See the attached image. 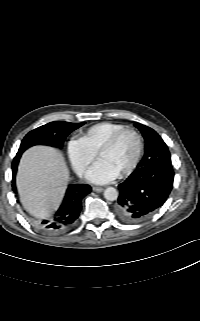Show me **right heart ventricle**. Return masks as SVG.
I'll return each instance as SVG.
<instances>
[{"instance_id": "right-heart-ventricle-1", "label": "right heart ventricle", "mask_w": 200, "mask_h": 321, "mask_svg": "<svg viewBox=\"0 0 200 321\" xmlns=\"http://www.w3.org/2000/svg\"><path fill=\"white\" fill-rule=\"evenodd\" d=\"M121 123L99 122L87 128L81 135L82 141L95 153L116 132L125 128Z\"/></svg>"}]
</instances>
